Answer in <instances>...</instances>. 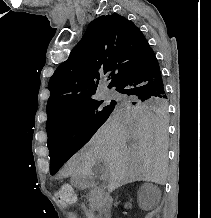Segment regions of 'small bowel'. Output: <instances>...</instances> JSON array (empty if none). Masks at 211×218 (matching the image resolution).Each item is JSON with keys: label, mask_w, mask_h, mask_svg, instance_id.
<instances>
[{"label": "small bowel", "mask_w": 211, "mask_h": 218, "mask_svg": "<svg viewBox=\"0 0 211 218\" xmlns=\"http://www.w3.org/2000/svg\"><path fill=\"white\" fill-rule=\"evenodd\" d=\"M84 210H85V213H86V215L88 216V218H92V217H91V214H90L88 211H86L85 208H84Z\"/></svg>", "instance_id": "1"}]
</instances>
